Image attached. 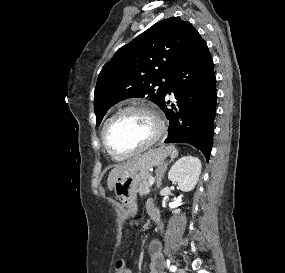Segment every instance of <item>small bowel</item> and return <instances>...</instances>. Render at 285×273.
<instances>
[{"mask_svg":"<svg viewBox=\"0 0 285 273\" xmlns=\"http://www.w3.org/2000/svg\"><path fill=\"white\" fill-rule=\"evenodd\" d=\"M146 209L149 214H151L153 210H156L153 201L148 200L146 202ZM148 251L150 256L149 273H163L164 259L160 242L151 241ZM128 273H132L130 269H128Z\"/></svg>","mask_w":285,"mask_h":273,"instance_id":"obj_1","label":"small bowel"}]
</instances>
